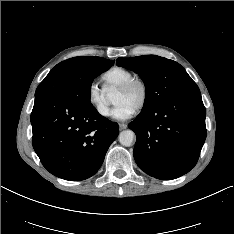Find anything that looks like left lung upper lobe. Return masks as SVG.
Here are the masks:
<instances>
[{"instance_id": "5c2ea615", "label": "left lung upper lobe", "mask_w": 234, "mask_h": 234, "mask_svg": "<svg viewBox=\"0 0 234 234\" xmlns=\"http://www.w3.org/2000/svg\"><path fill=\"white\" fill-rule=\"evenodd\" d=\"M118 66L136 72L146 87V98L141 112H147L166 98L195 82L177 62L156 55L118 58Z\"/></svg>"}]
</instances>
